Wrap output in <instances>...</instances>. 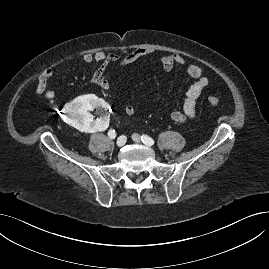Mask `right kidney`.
Wrapping results in <instances>:
<instances>
[{
	"mask_svg": "<svg viewBox=\"0 0 269 269\" xmlns=\"http://www.w3.org/2000/svg\"><path fill=\"white\" fill-rule=\"evenodd\" d=\"M100 115L107 113L108 108L95 95H85L74 99L61 111L60 116L66 123L83 132L101 133L108 129L110 121L107 117L93 120L89 111Z\"/></svg>",
	"mask_w": 269,
	"mask_h": 269,
	"instance_id": "right-kidney-1",
	"label": "right kidney"
}]
</instances>
